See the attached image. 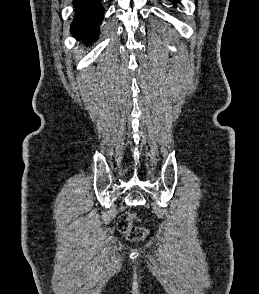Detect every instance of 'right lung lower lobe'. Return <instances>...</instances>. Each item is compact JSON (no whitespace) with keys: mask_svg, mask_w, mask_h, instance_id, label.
Wrapping results in <instances>:
<instances>
[{"mask_svg":"<svg viewBox=\"0 0 259 294\" xmlns=\"http://www.w3.org/2000/svg\"><path fill=\"white\" fill-rule=\"evenodd\" d=\"M74 18L71 23L73 36L86 43L96 40L104 17L102 0H73Z\"/></svg>","mask_w":259,"mask_h":294,"instance_id":"1","label":"right lung lower lobe"}]
</instances>
